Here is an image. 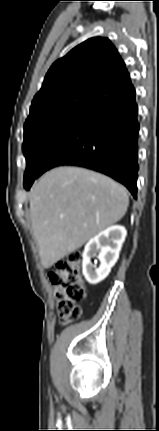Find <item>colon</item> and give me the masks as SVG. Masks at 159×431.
Instances as JSON below:
<instances>
[{"mask_svg":"<svg viewBox=\"0 0 159 431\" xmlns=\"http://www.w3.org/2000/svg\"><path fill=\"white\" fill-rule=\"evenodd\" d=\"M82 258L80 251H73L60 259L49 274L56 290L57 309L62 324L73 322L81 315L79 303L85 296Z\"/></svg>","mask_w":159,"mask_h":431,"instance_id":"obj_1","label":"colon"}]
</instances>
